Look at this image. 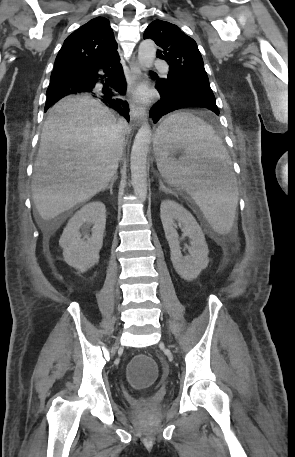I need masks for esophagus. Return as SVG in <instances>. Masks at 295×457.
Instances as JSON below:
<instances>
[{
  "label": "esophagus",
  "instance_id": "1",
  "mask_svg": "<svg viewBox=\"0 0 295 457\" xmlns=\"http://www.w3.org/2000/svg\"><path fill=\"white\" fill-rule=\"evenodd\" d=\"M130 77V90L133 91L136 87L138 79L141 77V69L136 60H133L130 65ZM131 115L137 121L138 124L145 122L147 119V112L145 107L138 105L134 102L131 103Z\"/></svg>",
  "mask_w": 295,
  "mask_h": 457
}]
</instances>
